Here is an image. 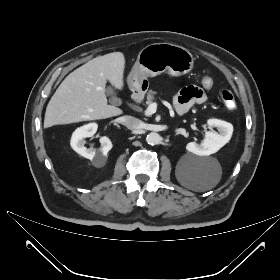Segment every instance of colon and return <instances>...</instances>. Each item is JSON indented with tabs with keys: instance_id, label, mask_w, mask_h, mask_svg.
<instances>
[{
	"instance_id": "obj_1",
	"label": "colon",
	"mask_w": 280,
	"mask_h": 280,
	"mask_svg": "<svg viewBox=\"0 0 280 280\" xmlns=\"http://www.w3.org/2000/svg\"><path fill=\"white\" fill-rule=\"evenodd\" d=\"M200 86L204 90H210L214 86V81L210 77H204L200 81ZM220 97H221L223 104L226 106V108H228L230 110L235 109L236 101H235V97L231 91H229L227 89H223L220 92Z\"/></svg>"
}]
</instances>
